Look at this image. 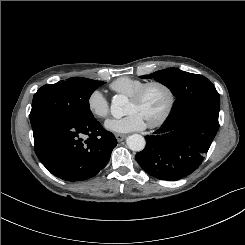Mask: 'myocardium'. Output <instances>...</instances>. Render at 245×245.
I'll use <instances>...</instances> for the list:
<instances>
[{
	"instance_id": "1",
	"label": "myocardium",
	"mask_w": 245,
	"mask_h": 245,
	"mask_svg": "<svg viewBox=\"0 0 245 245\" xmlns=\"http://www.w3.org/2000/svg\"><path fill=\"white\" fill-rule=\"evenodd\" d=\"M152 87H159L163 89L167 94L168 101L163 113L156 120L151 121L147 124L148 128H156L162 125L172 113L176 103V95L173 88L169 84L158 80L150 81L143 84L139 89H137L132 95L129 96V100L133 102L141 101L146 92Z\"/></svg>"
}]
</instances>
